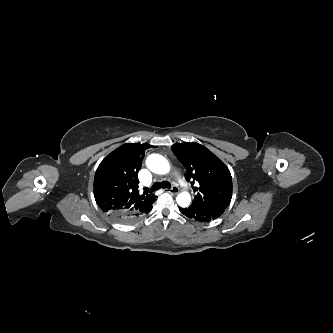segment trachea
<instances>
[{
  "instance_id": "1",
  "label": "trachea",
  "mask_w": 333,
  "mask_h": 333,
  "mask_svg": "<svg viewBox=\"0 0 333 333\" xmlns=\"http://www.w3.org/2000/svg\"><path fill=\"white\" fill-rule=\"evenodd\" d=\"M161 188H171V184L168 181H162V182H155L151 189L150 192H154L156 190H159Z\"/></svg>"
}]
</instances>
